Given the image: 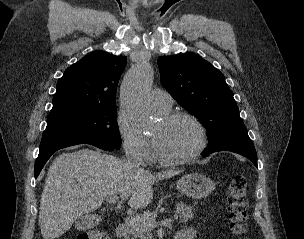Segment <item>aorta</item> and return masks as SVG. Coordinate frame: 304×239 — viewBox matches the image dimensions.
<instances>
[{
    "label": "aorta",
    "instance_id": "1",
    "mask_svg": "<svg viewBox=\"0 0 304 239\" xmlns=\"http://www.w3.org/2000/svg\"><path fill=\"white\" fill-rule=\"evenodd\" d=\"M153 73L147 60L140 61L126 76L121 86V102L133 119L146 126L151 121L148 91L152 86Z\"/></svg>",
    "mask_w": 304,
    "mask_h": 239
}]
</instances>
